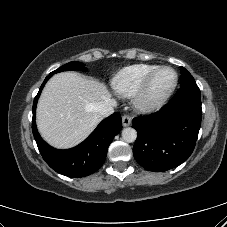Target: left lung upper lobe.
I'll list each match as a JSON object with an SVG mask.
<instances>
[{
  "instance_id": "5c2ea615",
  "label": "left lung upper lobe",
  "mask_w": 227,
  "mask_h": 227,
  "mask_svg": "<svg viewBox=\"0 0 227 227\" xmlns=\"http://www.w3.org/2000/svg\"><path fill=\"white\" fill-rule=\"evenodd\" d=\"M180 70H181V81H180L181 85L191 81H195L192 75L184 67H180Z\"/></svg>"
}]
</instances>
